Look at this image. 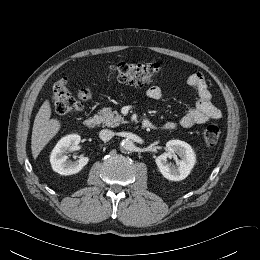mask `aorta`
<instances>
[{
    "label": "aorta",
    "mask_w": 260,
    "mask_h": 260,
    "mask_svg": "<svg viewBox=\"0 0 260 260\" xmlns=\"http://www.w3.org/2000/svg\"><path fill=\"white\" fill-rule=\"evenodd\" d=\"M120 149L123 151H133L135 149L134 142L130 139H124L120 143Z\"/></svg>",
    "instance_id": "aorta-1"
}]
</instances>
